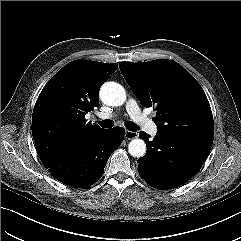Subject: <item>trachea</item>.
<instances>
[{"label":"trachea","instance_id":"obj_1","mask_svg":"<svg viewBox=\"0 0 241 241\" xmlns=\"http://www.w3.org/2000/svg\"><path fill=\"white\" fill-rule=\"evenodd\" d=\"M114 122L111 120H103L100 122V126L103 128H111L113 127ZM125 126L128 130L130 131H136L138 129V127L136 126V124L134 122L128 121L125 123Z\"/></svg>","mask_w":241,"mask_h":241}]
</instances>
